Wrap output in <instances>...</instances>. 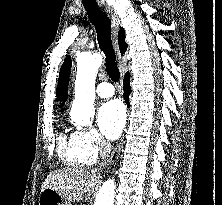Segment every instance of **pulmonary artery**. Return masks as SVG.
<instances>
[{"instance_id":"1","label":"pulmonary artery","mask_w":222,"mask_h":205,"mask_svg":"<svg viewBox=\"0 0 222 205\" xmlns=\"http://www.w3.org/2000/svg\"><path fill=\"white\" fill-rule=\"evenodd\" d=\"M97 95L101 98H109L114 95V88L108 82L100 83L96 88Z\"/></svg>"}]
</instances>
